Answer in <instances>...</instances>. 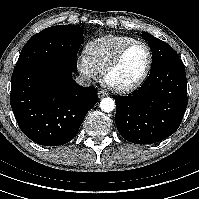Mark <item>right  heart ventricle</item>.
Segmentation results:
<instances>
[{
	"mask_svg": "<svg viewBox=\"0 0 199 199\" xmlns=\"http://www.w3.org/2000/svg\"><path fill=\"white\" fill-rule=\"evenodd\" d=\"M133 41L136 40L129 36L107 35L90 42L86 50L94 65L102 71L124 46Z\"/></svg>",
	"mask_w": 199,
	"mask_h": 199,
	"instance_id": "1",
	"label": "right heart ventricle"
}]
</instances>
